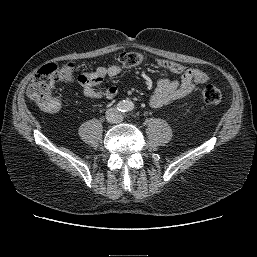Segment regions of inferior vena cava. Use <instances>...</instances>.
<instances>
[{"label":"inferior vena cava","instance_id":"1","mask_svg":"<svg viewBox=\"0 0 257 257\" xmlns=\"http://www.w3.org/2000/svg\"><path fill=\"white\" fill-rule=\"evenodd\" d=\"M106 119L110 123H119L123 120V115L118 109L110 108L106 111Z\"/></svg>","mask_w":257,"mask_h":257}]
</instances>
